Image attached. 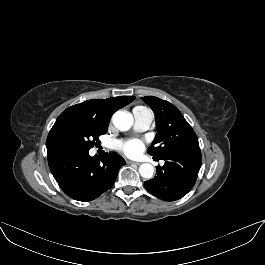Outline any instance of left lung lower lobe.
I'll return each mask as SVG.
<instances>
[{"mask_svg": "<svg viewBox=\"0 0 265 265\" xmlns=\"http://www.w3.org/2000/svg\"><path fill=\"white\" fill-rule=\"evenodd\" d=\"M157 176L144 182L146 189L165 201H175L185 196L194 186L201 167L200 149L170 152L164 157Z\"/></svg>", "mask_w": 265, "mask_h": 265, "instance_id": "left-lung-lower-lobe-1", "label": "left lung lower lobe"}]
</instances>
